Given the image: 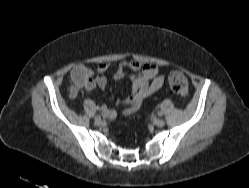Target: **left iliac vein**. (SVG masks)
<instances>
[{
  "label": "left iliac vein",
  "mask_w": 249,
  "mask_h": 188,
  "mask_svg": "<svg viewBox=\"0 0 249 188\" xmlns=\"http://www.w3.org/2000/svg\"><path fill=\"white\" fill-rule=\"evenodd\" d=\"M155 125L157 127H163L165 125V121L163 119H156L155 120Z\"/></svg>",
  "instance_id": "1"
}]
</instances>
